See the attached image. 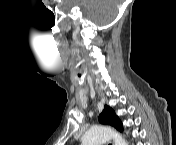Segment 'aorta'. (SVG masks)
I'll use <instances>...</instances> for the list:
<instances>
[{"mask_svg": "<svg viewBox=\"0 0 176 145\" xmlns=\"http://www.w3.org/2000/svg\"><path fill=\"white\" fill-rule=\"evenodd\" d=\"M112 139L115 145H127L126 140L117 131L107 126L91 127L83 136V145H103L108 140Z\"/></svg>", "mask_w": 176, "mask_h": 145, "instance_id": "1", "label": "aorta"}]
</instances>
